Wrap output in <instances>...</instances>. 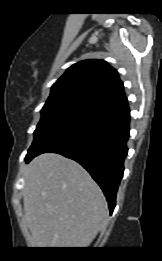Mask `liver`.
Returning <instances> with one entry per match:
<instances>
[{"instance_id":"6515ba94","label":"liver","mask_w":162,"mask_h":261,"mask_svg":"<svg viewBox=\"0 0 162 261\" xmlns=\"http://www.w3.org/2000/svg\"><path fill=\"white\" fill-rule=\"evenodd\" d=\"M24 221L39 248H85L106 225L99 186L75 161L54 153L33 159L24 174Z\"/></svg>"}]
</instances>
